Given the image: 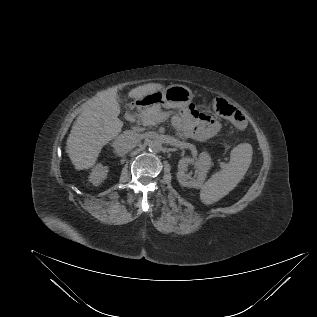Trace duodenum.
<instances>
[{
    "mask_svg": "<svg viewBox=\"0 0 317 317\" xmlns=\"http://www.w3.org/2000/svg\"><path fill=\"white\" fill-rule=\"evenodd\" d=\"M139 104H140L139 102L132 103L131 106L129 107V112H132L133 110H135Z\"/></svg>",
    "mask_w": 317,
    "mask_h": 317,
    "instance_id": "410a0bca",
    "label": "duodenum"
}]
</instances>
